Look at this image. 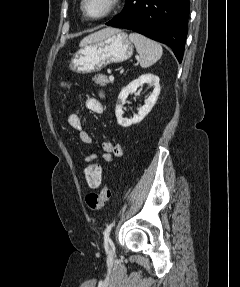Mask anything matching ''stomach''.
<instances>
[{"label": "stomach", "instance_id": "0dacf381", "mask_svg": "<svg viewBox=\"0 0 240 287\" xmlns=\"http://www.w3.org/2000/svg\"><path fill=\"white\" fill-rule=\"evenodd\" d=\"M133 54V45L126 32L112 29L105 36L81 45L74 54L70 69L77 73L100 71L112 63H120Z\"/></svg>", "mask_w": 240, "mask_h": 287}]
</instances>
